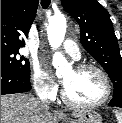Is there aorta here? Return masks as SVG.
Segmentation results:
<instances>
[{"mask_svg": "<svg viewBox=\"0 0 122 123\" xmlns=\"http://www.w3.org/2000/svg\"><path fill=\"white\" fill-rule=\"evenodd\" d=\"M66 33V18L64 15H55L49 20L47 27L48 40L53 49L58 48L65 37ZM53 66L56 68V72L60 73L66 69L69 65L65 57L57 52L53 55Z\"/></svg>", "mask_w": 122, "mask_h": 123, "instance_id": "762f6f07", "label": "aorta"}]
</instances>
